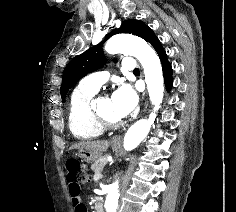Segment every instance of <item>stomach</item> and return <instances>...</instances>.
<instances>
[{
	"instance_id": "stomach-1",
	"label": "stomach",
	"mask_w": 236,
	"mask_h": 212,
	"mask_svg": "<svg viewBox=\"0 0 236 212\" xmlns=\"http://www.w3.org/2000/svg\"><path fill=\"white\" fill-rule=\"evenodd\" d=\"M113 148L116 149L117 145L113 144ZM77 155L87 163H91L97 160L100 155H95L87 150L78 149Z\"/></svg>"
}]
</instances>
